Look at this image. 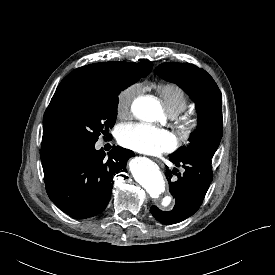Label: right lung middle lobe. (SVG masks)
I'll list each match as a JSON object with an SVG mask.
<instances>
[{
    "label": "right lung middle lobe",
    "instance_id": "obj_1",
    "mask_svg": "<svg viewBox=\"0 0 275 275\" xmlns=\"http://www.w3.org/2000/svg\"><path fill=\"white\" fill-rule=\"evenodd\" d=\"M140 78L143 77L129 76L122 84L55 93L44 114L43 126L64 150L95 145L98 137L114 126L120 91Z\"/></svg>",
    "mask_w": 275,
    "mask_h": 275
}]
</instances>
